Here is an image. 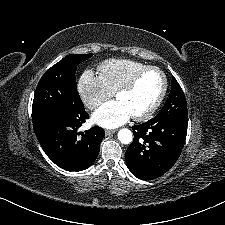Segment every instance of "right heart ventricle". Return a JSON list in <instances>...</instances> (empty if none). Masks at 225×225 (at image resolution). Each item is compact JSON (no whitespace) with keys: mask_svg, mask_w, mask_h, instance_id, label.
I'll use <instances>...</instances> for the list:
<instances>
[{"mask_svg":"<svg viewBox=\"0 0 225 225\" xmlns=\"http://www.w3.org/2000/svg\"><path fill=\"white\" fill-rule=\"evenodd\" d=\"M146 65L130 59H107L98 65L99 76L111 93Z\"/></svg>","mask_w":225,"mask_h":225,"instance_id":"1","label":"right heart ventricle"}]
</instances>
